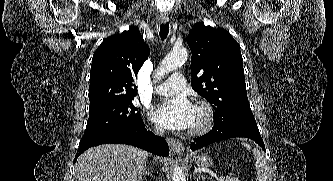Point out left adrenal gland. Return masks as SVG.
<instances>
[{
  "mask_svg": "<svg viewBox=\"0 0 333 181\" xmlns=\"http://www.w3.org/2000/svg\"><path fill=\"white\" fill-rule=\"evenodd\" d=\"M196 176H197V181L200 180L201 178L202 179H206V177L204 175H201V173H196Z\"/></svg>",
  "mask_w": 333,
  "mask_h": 181,
  "instance_id": "1",
  "label": "left adrenal gland"
}]
</instances>
